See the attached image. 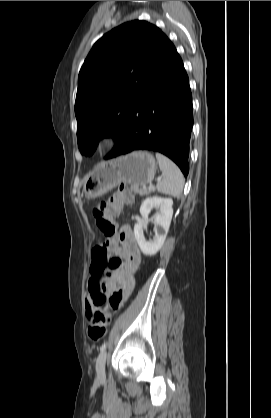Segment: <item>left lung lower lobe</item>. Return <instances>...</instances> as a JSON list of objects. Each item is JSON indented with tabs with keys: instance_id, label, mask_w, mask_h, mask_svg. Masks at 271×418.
Instances as JSON below:
<instances>
[{
	"instance_id": "0a47b994",
	"label": "left lung lower lobe",
	"mask_w": 271,
	"mask_h": 418,
	"mask_svg": "<svg viewBox=\"0 0 271 418\" xmlns=\"http://www.w3.org/2000/svg\"><path fill=\"white\" fill-rule=\"evenodd\" d=\"M193 127L192 94L182 59L174 45L140 94L135 108L105 159L135 150L160 152L186 177Z\"/></svg>"
}]
</instances>
